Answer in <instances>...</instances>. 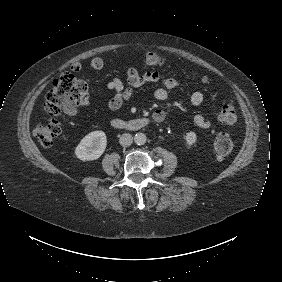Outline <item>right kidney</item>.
<instances>
[{
  "instance_id": "obj_1",
  "label": "right kidney",
  "mask_w": 282,
  "mask_h": 282,
  "mask_svg": "<svg viewBox=\"0 0 282 282\" xmlns=\"http://www.w3.org/2000/svg\"><path fill=\"white\" fill-rule=\"evenodd\" d=\"M107 146L104 131H92L85 135L75 147L74 154L80 161H93L101 157Z\"/></svg>"
}]
</instances>
